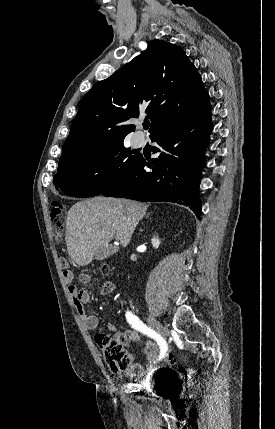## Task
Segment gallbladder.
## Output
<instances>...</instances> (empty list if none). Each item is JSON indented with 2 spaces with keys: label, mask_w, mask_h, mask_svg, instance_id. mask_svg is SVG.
I'll use <instances>...</instances> for the list:
<instances>
[{
  "label": "gallbladder",
  "mask_w": 275,
  "mask_h": 429,
  "mask_svg": "<svg viewBox=\"0 0 275 429\" xmlns=\"http://www.w3.org/2000/svg\"><path fill=\"white\" fill-rule=\"evenodd\" d=\"M115 252L113 247H103L96 251L94 255V259L96 260H104L110 257Z\"/></svg>",
  "instance_id": "bac80fb5"
}]
</instances>
